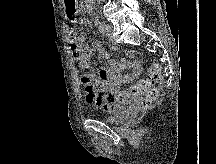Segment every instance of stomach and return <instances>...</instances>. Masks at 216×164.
<instances>
[{
    "label": "stomach",
    "instance_id": "obj_1",
    "mask_svg": "<svg viewBox=\"0 0 216 164\" xmlns=\"http://www.w3.org/2000/svg\"><path fill=\"white\" fill-rule=\"evenodd\" d=\"M65 3V17L67 20H78L80 13L77 12V3L79 0H64Z\"/></svg>",
    "mask_w": 216,
    "mask_h": 164
}]
</instances>
